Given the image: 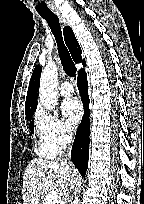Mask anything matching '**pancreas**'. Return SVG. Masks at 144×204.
<instances>
[{
  "instance_id": "cf45deb5",
  "label": "pancreas",
  "mask_w": 144,
  "mask_h": 204,
  "mask_svg": "<svg viewBox=\"0 0 144 204\" xmlns=\"http://www.w3.org/2000/svg\"><path fill=\"white\" fill-rule=\"evenodd\" d=\"M41 204H45V199L42 201V203Z\"/></svg>"
}]
</instances>
